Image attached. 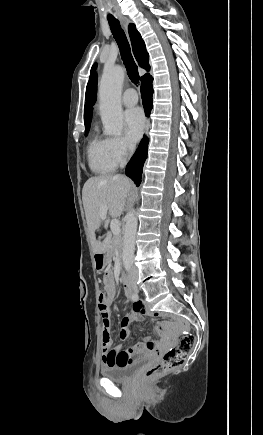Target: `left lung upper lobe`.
<instances>
[{
    "instance_id": "5c2ea615",
    "label": "left lung upper lobe",
    "mask_w": 263,
    "mask_h": 435,
    "mask_svg": "<svg viewBox=\"0 0 263 435\" xmlns=\"http://www.w3.org/2000/svg\"><path fill=\"white\" fill-rule=\"evenodd\" d=\"M96 66H97V64L95 63V64L93 65L92 69H91L90 80H89L88 85H87V92H88V90H89V86H90L91 78H92V75H93V71H94V69L96 68Z\"/></svg>"
}]
</instances>
